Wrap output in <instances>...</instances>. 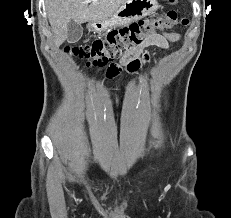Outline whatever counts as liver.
Masks as SVG:
<instances>
[{"label": "liver", "instance_id": "6515ba94", "mask_svg": "<svg viewBox=\"0 0 231 218\" xmlns=\"http://www.w3.org/2000/svg\"><path fill=\"white\" fill-rule=\"evenodd\" d=\"M126 0H46V10L58 48L67 39L68 23L98 22L110 18Z\"/></svg>", "mask_w": 231, "mask_h": 218}]
</instances>
